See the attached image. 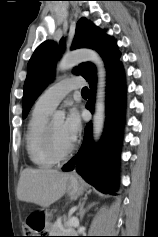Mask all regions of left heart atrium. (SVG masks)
Listing matches in <instances>:
<instances>
[{
	"mask_svg": "<svg viewBox=\"0 0 158 237\" xmlns=\"http://www.w3.org/2000/svg\"><path fill=\"white\" fill-rule=\"evenodd\" d=\"M81 131V120L78 112L75 109H71L62 124V132L65 138L73 144Z\"/></svg>",
	"mask_w": 158,
	"mask_h": 237,
	"instance_id": "obj_1",
	"label": "left heart atrium"
}]
</instances>
